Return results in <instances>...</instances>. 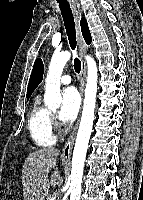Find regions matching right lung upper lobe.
<instances>
[{
  "instance_id": "obj_1",
  "label": "right lung upper lobe",
  "mask_w": 143,
  "mask_h": 200,
  "mask_svg": "<svg viewBox=\"0 0 143 200\" xmlns=\"http://www.w3.org/2000/svg\"><path fill=\"white\" fill-rule=\"evenodd\" d=\"M81 30L83 37L86 41L87 44H90L91 42V34L87 25V22L84 18L81 19ZM43 72H44V67L42 64L41 59H37L34 63L33 70L30 76L29 84H28V89H27V98L31 96L33 91L36 89L38 84L42 81L43 78Z\"/></svg>"
}]
</instances>
